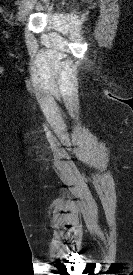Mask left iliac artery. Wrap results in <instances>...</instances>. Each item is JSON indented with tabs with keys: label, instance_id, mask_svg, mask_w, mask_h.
Masks as SVG:
<instances>
[{
	"label": "left iliac artery",
	"instance_id": "obj_1",
	"mask_svg": "<svg viewBox=\"0 0 133 275\" xmlns=\"http://www.w3.org/2000/svg\"><path fill=\"white\" fill-rule=\"evenodd\" d=\"M28 0H21V2L19 3V7L18 9L20 10L26 3Z\"/></svg>",
	"mask_w": 133,
	"mask_h": 275
}]
</instances>
